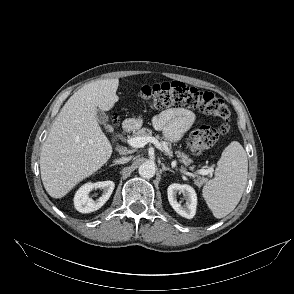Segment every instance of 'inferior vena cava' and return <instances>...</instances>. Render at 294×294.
<instances>
[{"mask_svg":"<svg viewBox=\"0 0 294 294\" xmlns=\"http://www.w3.org/2000/svg\"><path fill=\"white\" fill-rule=\"evenodd\" d=\"M129 160H130V157H121L115 160V162L118 164H124V163H127Z\"/></svg>","mask_w":294,"mask_h":294,"instance_id":"1","label":"inferior vena cava"}]
</instances>
